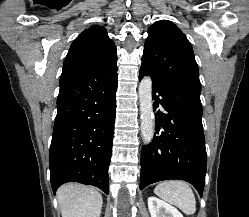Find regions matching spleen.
Wrapping results in <instances>:
<instances>
[{
    "label": "spleen",
    "mask_w": 249,
    "mask_h": 217,
    "mask_svg": "<svg viewBox=\"0 0 249 217\" xmlns=\"http://www.w3.org/2000/svg\"><path fill=\"white\" fill-rule=\"evenodd\" d=\"M155 194L165 201L174 204L185 214L192 215L196 211V200L191 187L181 180H169L159 183Z\"/></svg>",
    "instance_id": "obj_1"
}]
</instances>
